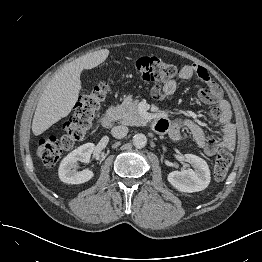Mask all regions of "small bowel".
Here are the masks:
<instances>
[{"label":"small bowel","mask_w":262,"mask_h":262,"mask_svg":"<svg viewBox=\"0 0 262 262\" xmlns=\"http://www.w3.org/2000/svg\"><path fill=\"white\" fill-rule=\"evenodd\" d=\"M194 75L204 81L206 85L200 91L199 96L204 103L213 106L210 117L221 123V133L209 136L203 128L190 118L169 121L165 117H160L158 131L166 133L175 142H185L182 129H186L190 132L194 144L202 148L208 156L215 155L220 149L233 150L235 146V129L231 122L230 104L223 96L221 88L212 80L204 67L196 64L182 66L178 78L168 81L163 86L164 97L175 92L178 81L190 79ZM185 143L188 145L187 142Z\"/></svg>","instance_id":"1"}]
</instances>
